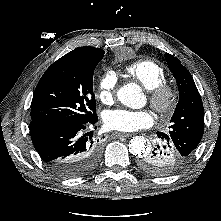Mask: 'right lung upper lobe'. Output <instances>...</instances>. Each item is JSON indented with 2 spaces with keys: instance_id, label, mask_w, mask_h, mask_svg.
<instances>
[{
  "instance_id": "cb5924a9",
  "label": "right lung upper lobe",
  "mask_w": 221,
  "mask_h": 221,
  "mask_svg": "<svg viewBox=\"0 0 221 221\" xmlns=\"http://www.w3.org/2000/svg\"><path fill=\"white\" fill-rule=\"evenodd\" d=\"M96 53H105V52L99 48L84 46L74 49L73 51L67 53L60 59H71L81 55L96 54Z\"/></svg>"
}]
</instances>
